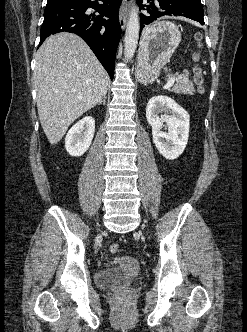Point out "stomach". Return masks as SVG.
<instances>
[{
    "mask_svg": "<svg viewBox=\"0 0 247 332\" xmlns=\"http://www.w3.org/2000/svg\"><path fill=\"white\" fill-rule=\"evenodd\" d=\"M181 42V32L172 22L160 21L149 27L141 39L137 77L147 83L156 79Z\"/></svg>",
    "mask_w": 247,
    "mask_h": 332,
    "instance_id": "1",
    "label": "stomach"
}]
</instances>
